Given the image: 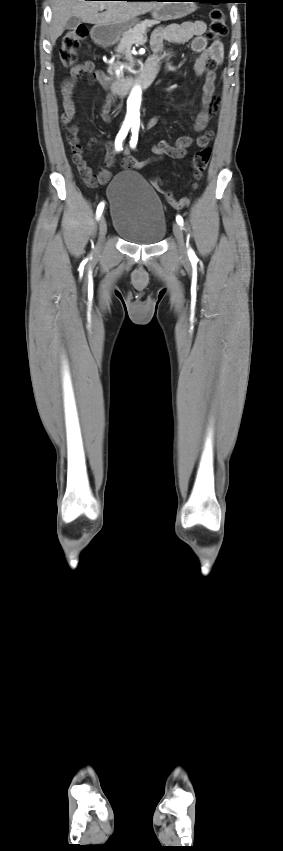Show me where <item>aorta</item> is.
<instances>
[{
	"label": "aorta",
	"mask_w": 283,
	"mask_h": 851,
	"mask_svg": "<svg viewBox=\"0 0 283 851\" xmlns=\"http://www.w3.org/2000/svg\"><path fill=\"white\" fill-rule=\"evenodd\" d=\"M141 88L139 86H135L128 98L127 101V116L126 120L129 122H138L139 121V108L141 103Z\"/></svg>",
	"instance_id": "1"
}]
</instances>
